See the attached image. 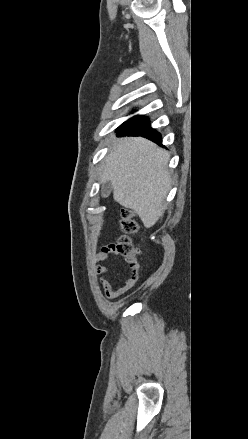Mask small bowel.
<instances>
[{"label":"small bowel","mask_w":248,"mask_h":439,"mask_svg":"<svg viewBox=\"0 0 248 439\" xmlns=\"http://www.w3.org/2000/svg\"><path fill=\"white\" fill-rule=\"evenodd\" d=\"M119 255L115 245H107L101 248V250L95 256V262L99 263L101 261H105L109 259L111 256ZM130 268V276L124 281L123 285L114 289L111 282L106 278L107 267L103 265H96L95 272L97 275L101 276V284L104 290V293L108 299H116L123 294H125L128 290H130L138 280L139 269L136 266Z\"/></svg>","instance_id":"1"}]
</instances>
